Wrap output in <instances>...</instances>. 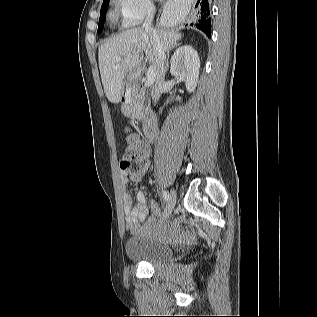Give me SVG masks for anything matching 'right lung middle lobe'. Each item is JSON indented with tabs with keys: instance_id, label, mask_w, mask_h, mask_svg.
<instances>
[{
	"instance_id": "right-lung-middle-lobe-1",
	"label": "right lung middle lobe",
	"mask_w": 317,
	"mask_h": 317,
	"mask_svg": "<svg viewBox=\"0 0 317 317\" xmlns=\"http://www.w3.org/2000/svg\"><path fill=\"white\" fill-rule=\"evenodd\" d=\"M108 4H109V0H104L103 1L102 7H101V12H100L99 24H98V32L102 31Z\"/></svg>"
}]
</instances>
